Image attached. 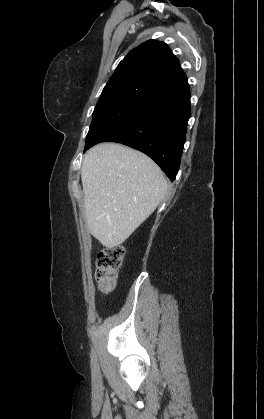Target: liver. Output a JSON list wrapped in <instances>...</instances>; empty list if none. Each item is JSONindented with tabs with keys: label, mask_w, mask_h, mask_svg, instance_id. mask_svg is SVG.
<instances>
[{
	"label": "liver",
	"mask_w": 264,
	"mask_h": 419,
	"mask_svg": "<svg viewBox=\"0 0 264 419\" xmlns=\"http://www.w3.org/2000/svg\"><path fill=\"white\" fill-rule=\"evenodd\" d=\"M81 179L88 230L107 248L122 244L167 192L153 160L116 143L98 144L85 154Z\"/></svg>",
	"instance_id": "1"
}]
</instances>
